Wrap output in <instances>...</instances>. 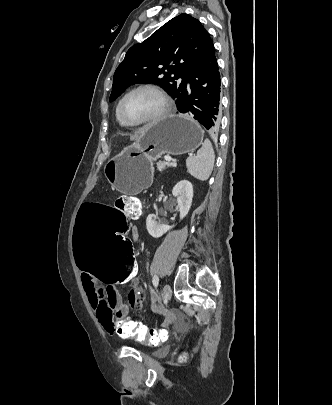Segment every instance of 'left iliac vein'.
Returning <instances> with one entry per match:
<instances>
[{
    "instance_id": "4c4485c4",
    "label": "left iliac vein",
    "mask_w": 332,
    "mask_h": 405,
    "mask_svg": "<svg viewBox=\"0 0 332 405\" xmlns=\"http://www.w3.org/2000/svg\"><path fill=\"white\" fill-rule=\"evenodd\" d=\"M171 295H172L171 287H170L169 284H166V285L163 287V296H164V298H165L166 300H169V299L171 298Z\"/></svg>"
}]
</instances>
